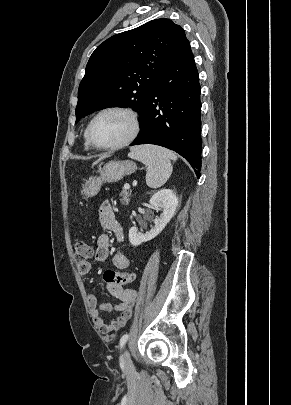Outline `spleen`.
Masks as SVG:
<instances>
[{"label": "spleen", "instance_id": "3e777b00", "mask_svg": "<svg viewBox=\"0 0 291 405\" xmlns=\"http://www.w3.org/2000/svg\"><path fill=\"white\" fill-rule=\"evenodd\" d=\"M128 156L148 167L146 183L150 188L165 184L173 170L171 160H177V156L170 150L154 145L133 147Z\"/></svg>", "mask_w": 291, "mask_h": 405}]
</instances>
